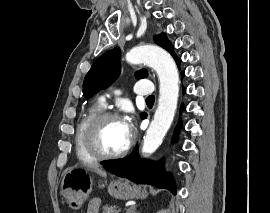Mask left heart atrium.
I'll list each match as a JSON object with an SVG mask.
<instances>
[{"label": "left heart atrium", "mask_w": 270, "mask_h": 213, "mask_svg": "<svg viewBox=\"0 0 270 213\" xmlns=\"http://www.w3.org/2000/svg\"><path fill=\"white\" fill-rule=\"evenodd\" d=\"M123 127L128 135L129 139L131 138L132 131H133V123L132 118L130 116H125L122 120Z\"/></svg>", "instance_id": "obj_1"}]
</instances>
